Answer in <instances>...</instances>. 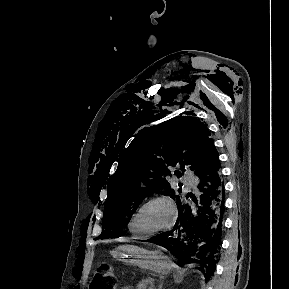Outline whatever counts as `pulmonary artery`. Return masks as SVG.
Instances as JSON below:
<instances>
[{
	"label": "pulmonary artery",
	"instance_id": "1",
	"mask_svg": "<svg viewBox=\"0 0 289 289\" xmlns=\"http://www.w3.org/2000/svg\"><path fill=\"white\" fill-rule=\"evenodd\" d=\"M186 182L189 183V184H192V183H193V180L187 179Z\"/></svg>",
	"mask_w": 289,
	"mask_h": 289
}]
</instances>
